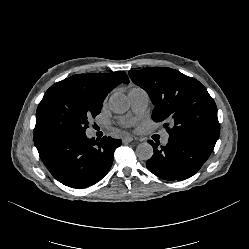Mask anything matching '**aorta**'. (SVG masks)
<instances>
[{"label":"aorta","instance_id":"obj_1","mask_svg":"<svg viewBox=\"0 0 249 249\" xmlns=\"http://www.w3.org/2000/svg\"><path fill=\"white\" fill-rule=\"evenodd\" d=\"M109 108L117 114L125 113L129 109L127 97L122 93L112 94L109 98ZM153 153V147L147 142L140 143L136 148V155L140 160H149Z\"/></svg>","mask_w":249,"mask_h":249}]
</instances>
